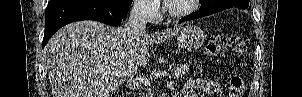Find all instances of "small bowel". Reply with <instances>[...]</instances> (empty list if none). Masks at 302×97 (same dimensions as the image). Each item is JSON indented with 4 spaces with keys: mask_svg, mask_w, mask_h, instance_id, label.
I'll use <instances>...</instances> for the list:
<instances>
[{
    "mask_svg": "<svg viewBox=\"0 0 302 97\" xmlns=\"http://www.w3.org/2000/svg\"><path fill=\"white\" fill-rule=\"evenodd\" d=\"M200 89L201 91L209 94H213L216 97H224L222 89L220 85L209 79L205 78H197V79H190L184 85L182 89V93L184 97H196L195 88ZM179 97H182L180 94Z\"/></svg>",
    "mask_w": 302,
    "mask_h": 97,
    "instance_id": "1",
    "label": "small bowel"
}]
</instances>
